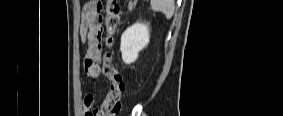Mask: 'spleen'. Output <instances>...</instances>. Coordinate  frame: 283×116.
<instances>
[{
    "label": "spleen",
    "mask_w": 283,
    "mask_h": 116,
    "mask_svg": "<svg viewBox=\"0 0 283 116\" xmlns=\"http://www.w3.org/2000/svg\"><path fill=\"white\" fill-rule=\"evenodd\" d=\"M150 4L153 11L163 13L166 19H170L174 14L173 0H151Z\"/></svg>",
    "instance_id": "spleen-1"
}]
</instances>
